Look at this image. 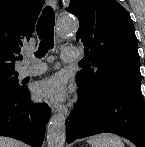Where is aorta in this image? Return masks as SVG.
<instances>
[{"mask_svg": "<svg viewBox=\"0 0 145 147\" xmlns=\"http://www.w3.org/2000/svg\"><path fill=\"white\" fill-rule=\"evenodd\" d=\"M78 28L77 22L70 17L58 20L57 32L60 36H67ZM66 140V116L64 111L55 114L49 121L47 127L48 147H64Z\"/></svg>", "mask_w": 145, "mask_h": 147, "instance_id": "obj_1", "label": "aorta"}]
</instances>
